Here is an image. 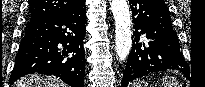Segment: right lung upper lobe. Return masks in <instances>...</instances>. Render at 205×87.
Masks as SVG:
<instances>
[{"label":"right lung upper lobe","instance_id":"right-lung-upper-lobe-1","mask_svg":"<svg viewBox=\"0 0 205 87\" xmlns=\"http://www.w3.org/2000/svg\"><path fill=\"white\" fill-rule=\"evenodd\" d=\"M83 2L84 0H30L29 21L58 15Z\"/></svg>","mask_w":205,"mask_h":87}]
</instances>
